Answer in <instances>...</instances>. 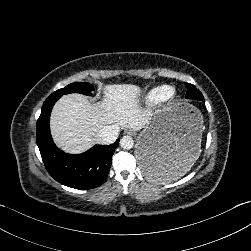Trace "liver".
I'll use <instances>...</instances> for the list:
<instances>
[{"instance_id":"liver-1","label":"liver","mask_w":251,"mask_h":251,"mask_svg":"<svg viewBox=\"0 0 251 251\" xmlns=\"http://www.w3.org/2000/svg\"><path fill=\"white\" fill-rule=\"evenodd\" d=\"M139 86L132 84L106 85L100 105H92L82 94H68L54 105L50 128L54 142L64 151L77 154L97 141L98 132L110 124L130 131L147 125L150 114L139 106Z\"/></svg>"}]
</instances>
